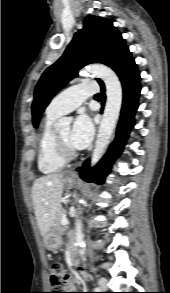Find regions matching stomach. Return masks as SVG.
I'll use <instances>...</instances> for the list:
<instances>
[{
	"mask_svg": "<svg viewBox=\"0 0 170 293\" xmlns=\"http://www.w3.org/2000/svg\"><path fill=\"white\" fill-rule=\"evenodd\" d=\"M77 181L78 180L76 177L67 176L64 180V183L68 188H72L77 183ZM44 244L48 250L55 251L61 247L62 238L57 232L50 230L44 236Z\"/></svg>",
	"mask_w": 170,
	"mask_h": 293,
	"instance_id": "stomach-1",
	"label": "stomach"
}]
</instances>
